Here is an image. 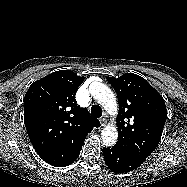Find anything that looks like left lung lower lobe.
Wrapping results in <instances>:
<instances>
[{"mask_svg": "<svg viewBox=\"0 0 187 187\" xmlns=\"http://www.w3.org/2000/svg\"><path fill=\"white\" fill-rule=\"evenodd\" d=\"M103 155L106 165L114 173L130 172L144 162L127 154L116 146L103 148Z\"/></svg>", "mask_w": 187, "mask_h": 187, "instance_id": "1", "label": "left lung lower lobe"}]
</instances>
